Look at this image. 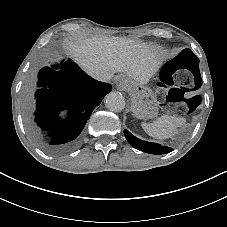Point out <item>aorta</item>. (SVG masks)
Listing matches in <instances>:
<instances>
[{"label":"aorta","mask_w":227,"mask_h":227,"mask_svg":"<svg viewBox=\"0 0 227 227\" xmlns=\"http://www.w3.org/2000/svg\"><path fill=\"white\" fill-rule=\"evenodd\" d=\"M105 106L110 111H122L125 107V98L119 92H110L106 96Z\"/></svg>","instance_id":"aorta-1"}]
</instances>
